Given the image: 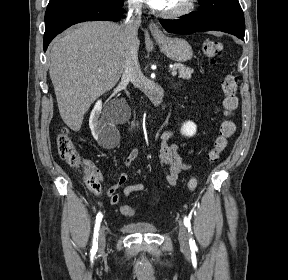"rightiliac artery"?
I'll list each match as a JSON object with an SVG mask.
<instances>
[{
    "label": "right iliac artery",
    "instance_id": "1",
    "mask_svg": "<svg viewBox=\"0 0 288 280\" xmlns=\"http://www.w3.org/2000/svg\"><path fill=\"white\" fill-rule=\"evenodd\" d=\"M101 221H102V213L99 212L96 216V222H95V227H94L93 245L91 249L92 256L95 255L97 248H98V235H99Z\"/></svg>",
    "mask_w": 288,
    "mask_h": 280
}]
</instances>
